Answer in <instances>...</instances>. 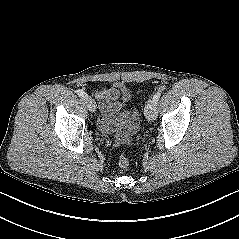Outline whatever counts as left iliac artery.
I'll use <instances>...</instances> for the list:
<instances>
[{
    "label": "left iliac artery",
    "instance_id": "44dca946",
    "mask_svg": "<svg viewBox=\"0 0 239 239\" xmlns=\"http://www.w3.org/2000/svg\"><path fill=\"white\" fill-rule=\"evenodd\" d=\"M161 96V92H157L154 96H153V101L157 104L159 98Z\"/></svg>",
    "mask_w": 239,
    "mask_h": 239
}]
</instances>
